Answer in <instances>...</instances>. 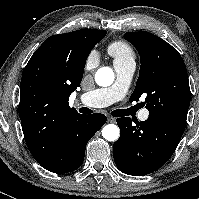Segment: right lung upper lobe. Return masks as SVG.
<instances>
[{"label":"right lung upper lobe","instance_id":"right-lung-upper-lobe-1","mask_svg":"<svg viewBox=\"0 0 199 199\" xmlns=\"http://www.w3.org/2000/svg\"><path fill=\"white\" fill-rule=\"evenodd\" d=\"M104 30L81 29L47 38L27 63L20 84L19 117L25 141L41 143L58 135L79 115L68 104L79 87L91 49Z\"/></svg>","mask_w":199,"mask_h":199}]
</instances>
